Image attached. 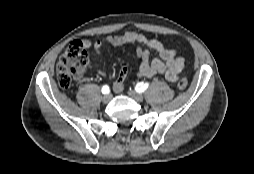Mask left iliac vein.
Here are the masks:
<instances>
[{
	"mask_svg": "<svg viewBox=\"0 0 254 174\" xmlns=\"http://www.w3.org/2000/svg\"><path fill=\"white\" fill-rule=\"evenodd\" d=\"M128 95L137 102H142L144 100L143 95L135 91L129 90Z\"/></svg>",
	"mask_w": 254,
	"mask_h": 174,
	"instance_id": "1",
	"label": "left iliac vein"
}]
</instances>
